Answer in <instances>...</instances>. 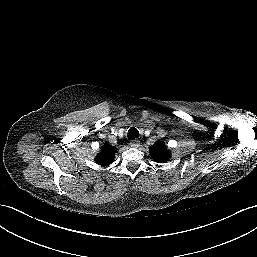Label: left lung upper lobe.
Segmentation results:
<instances>
[{
	"label": "left lung upper lobe",
	"instance_id": "obj_1",
	"mask_svg": "<svg viewBox=\"0 0 257 257\" xmlns=\"http://www.w3.org/2000/svg\"><path fill=\"white\" fill-rule=\"evenodd\" d=\"M150 153H151L152 158L156 162L164 163V162L168 161L170 158L169 151L167 150L165 144L161 141L154 143L150 147Z\"/></svg>",
	"mask_w": 257,
	"mask_h": 257
}]
</instances>
